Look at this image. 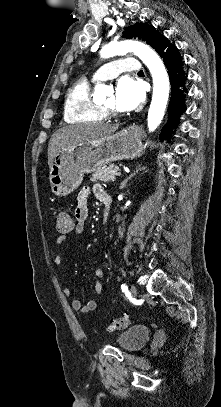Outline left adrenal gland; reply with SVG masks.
Returning <instances> with one entry per match:
<instances>
[{
    "instance_id": "obj_1",
    "label": "left adrenal gland",
    "mask_w": 221,
    "mask_h": 407,
    "mask_svg": "<svg viewBox=\"0 0 221 407\" xmlns=\"http://www.w3.org/2000/svg\"><path fill=\"white\" fill-rule=\"evenodd\" d=\"M145 169H146L145 166L138 165V166L136 167V170H135L133 173H131L125 180H123V181L121 182L120 189H124V188L126 187V185H127V183H128L129 180H131L133 177H135L140 171H143V170H145Z\"/></svg>"
}]
</instances>
